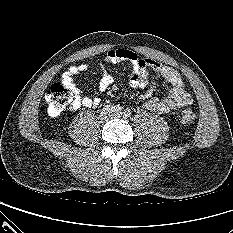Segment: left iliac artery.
<instances>
[{
  "instance_id": "1",
  "label": "left iliac artery",
  "mask_w": 233,
  "mask_h": 233,
  "mask_svg": "<svg viewBox=\"0 0 233 233\" xmlns=\"http://www.w3.org/2000/svg\"><path fill=\"white\" fill-rule=\"evenodd\" d=\"M130 111L129 110H125L124 112H123V116L124 117H129L130 116Z\"/></svg>"
}]
</instances>
